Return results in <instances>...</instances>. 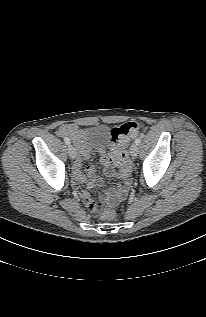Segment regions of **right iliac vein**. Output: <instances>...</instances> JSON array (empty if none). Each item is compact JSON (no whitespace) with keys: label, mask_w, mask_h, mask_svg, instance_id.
I'll return each mask as SVG.
<instances>
[{"label":"right iliac vein","mask_w":206,"mask_h":317,"mask_svg":"<svg viewBox=\"0 0 206 317\" xmlns=\"http://www.w3.org/2000/svg\"><path fill=\"white\" fill-rule=\"evenodd\" d=\"M68 154L72 160L76 158V149L72 145L68 146Z\"/></svg>","instance_id":"1"}]
</instances>
